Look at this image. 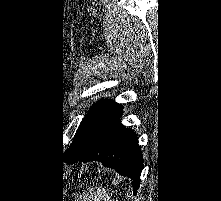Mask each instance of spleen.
<instances>
[{
  "mask_svg": "<svg viewBox=\"0 0 221 201\" xmlns=\"http://www.w3.org/2000/svg\"><path fill=\"white\" fill-rule=\"evenodd\" d=\"M78 200L82 201H112L109 193L104 188H89L88 192L84 195L78 196ZM77 200V201H78Z\"/></svg>",
  "mask_w": 221,
  "mask_h": 201,
  "instance_id": "spleen-1",
  "label": "spleen"
}]
</instances>
